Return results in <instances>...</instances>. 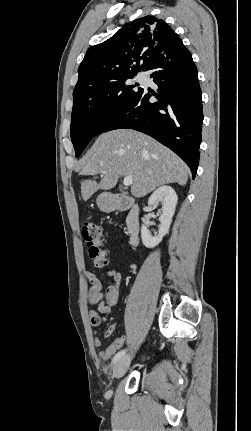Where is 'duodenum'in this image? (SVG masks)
<instances>
[{"mask_svg":"<svg viewBox=\"0 0 251 431\" xmlns=\"http://www.w3.org/2000/svg\"><path fill=\"white\" fill-rule=\"evenodd\" d=\"M112 210L128 211L126 217L127 233L132 244L137 243L139 233V209L133 199L124 195H115L109 204Z\"/></svg>","mask_w":251,"mask_h":431,"instance_id":"obj_1","label":"duodenum"}]
</instances>
